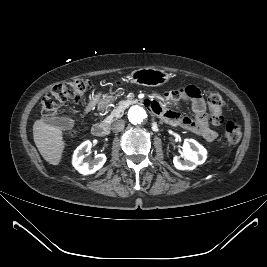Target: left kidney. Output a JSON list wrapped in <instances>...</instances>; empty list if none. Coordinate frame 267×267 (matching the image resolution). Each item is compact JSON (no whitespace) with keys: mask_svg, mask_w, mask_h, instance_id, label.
I'll list each match as a JSON object with an SVG mask.
<instances>
[{"mask_svg":"<svg viewBox=\"0 0 267 267\" xmlns=\"http://www.w3.org/2000/svg\"><path fill=\"white\" fill-rule=\"evenodd\" d=\"M182 157H184V161L179 156L173 158L175 168L178 170H193L197 165L205 162L207 151L194 139H185Z\"/></svg>","mask_w":267,"mask_h":267,"instance_id":"5707ae66","label":"left kidney"}]
</instances>
